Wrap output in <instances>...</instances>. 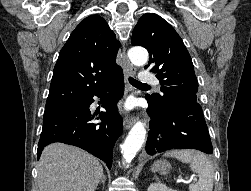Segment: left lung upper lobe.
Segmentation results:
<instances>
[{"mask_svg":"<svg viewBox=\"0 0 251 191\" xmlns=\"http://www.w3.org/2000/svg\"><path fill=\"white\" fill-rule=\"evenodd\" d=\"M132 45L145 47L150 55L145 69L157 73L160 94L146 98L164 111L184 102H199L198 81L187 48L174 28L157 14L146 13L135 26Z\"/></svg>","mask_w":251,"mask_h":191,"instance_id":"1","label":"left lung upper lobe"}]
</instances>
